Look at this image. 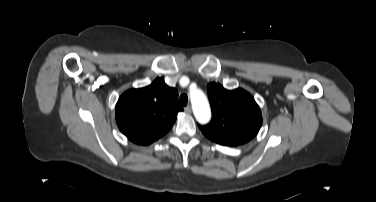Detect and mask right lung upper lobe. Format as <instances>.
Masks as SVG:
<instances>
[{
    "label": "right lung upper lobe",
    "mask_w": 376,
    "mask_h": 202,
    "mask_svg": "<svg viewBox=\"0 0 376 202\" xmlns=\"http://www.w3.org/2000/svg\"><path fill=\"white\" fill-rule=\"evenodd\" d=\"M178 92L168 87L163 78L149 86L130 89L121 95L115 117L120 131L132 142L149 145L164 136L173 126L177 113Z\"/></svg>",
    "instance_id": "obj_1"
}]
</instances>
